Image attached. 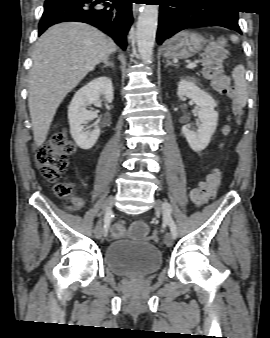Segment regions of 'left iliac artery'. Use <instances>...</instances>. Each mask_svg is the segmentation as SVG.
Segmentation results:
<instances>
[{"label": "left iliac artery", "mask_w": 270, "mask_h": 338, "mask_svg": "<svg viewBox=\"0 0 270 338\" xmlns=\"http://www.w3.org/2000/svg\"><path fill=\"white\" fill-rule=\"evenodd\" d=\"M171 212H172V208L171 205L168 202H164L163 203V216H164V220L167 222V224L170 227V231L172 234L173 239L177 238V227L176 224L171 216Z\"/></svg>", "instance_id": "left-iliac-artery-1"}]
</instances>
